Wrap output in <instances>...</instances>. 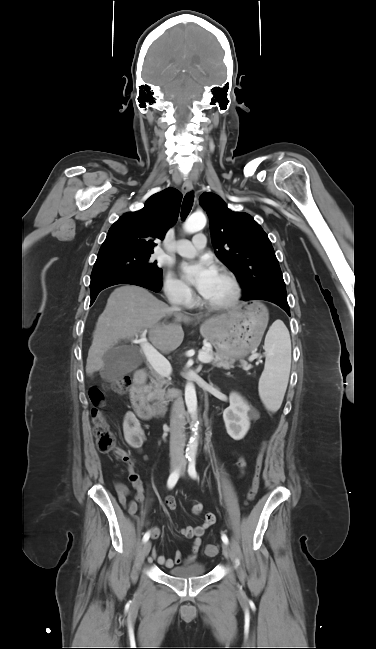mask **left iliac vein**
Masks as SVG:
<instances>
[{"label": "left iliac vein", "mask_w": 376, "mask_h": 649, "mask_svg": "<svg viewBox=\"0 0 376 649\" xmlns=\"http://www.w3.org/2000/svg\"><path fill=\"white\" fill-rule=\"evenodd\" d=\"M185 468H186V464L183 461L182 464H181V470H180V473H181L182 476L185 473ZM222 553L225 556V558L228 559L230 557V549H229L228 545L225 544V543L222 544Z\"/></svg>", "instance_id": "4c4485c4"}]
</instances>
